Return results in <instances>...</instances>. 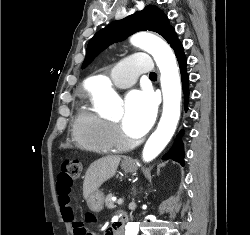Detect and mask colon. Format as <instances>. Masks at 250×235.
I'll return each mask as SVG.
<instances>
[{"instance_id":"colon-1","label":"colon","mask_w":250,"mask_h":235,"mask_svg":"<svg viewBox=\"0 0 250 235\" xmlns=\"http://www.w3.org/2000/svg\"><path fill=\"white\" fill-rule=\"evenodd\" d=\"M82 164L77 159H66L61 163L60 172L58 174V188L64 192H70L73 183L81 175ZM93 220H96L94 217ZM74 223L75 235H92L87 231L85 225L79 222Z\"/></svg>"}]
</instances>
